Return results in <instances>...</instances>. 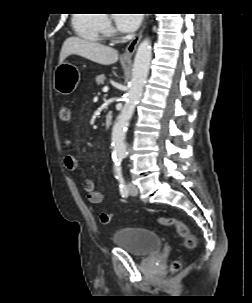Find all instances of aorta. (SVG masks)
Returning <instances> with one entry per match:
<instances>
[{
	"instance_id": "aorta-1",
	"label": "aorta",
	"mask_w": 252,
	"mask_h": 303,
	"mask_svg": "<svg viewBox=\"0 0 252 303\" xmlns=\"http://www.w3.org/2000/svg\"><path fill=\"white\" fill-rule=\"evenodd\" d=\"M151 58V42L149 39H144L139 44L134 58L132 76L129 82V89L124 107L117 117L112 131L113 162L115 164H119L128 154L125 133L128 122L134 113L135 106L142 95L143 86L149 72Z\"/></svg>"
}]
</instances>
